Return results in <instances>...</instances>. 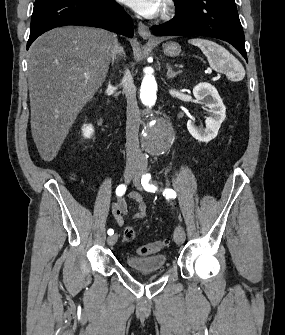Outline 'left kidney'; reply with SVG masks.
<instances>
[{
	"instance_id": "5707ae66",
	"label": "left kidney",
	"mask_w": 285,
	"mask_h": 335,
	"mask_svg": "<svg viewBox=\"0 0 285 335\" xmlns=\"http://www.w3.org/2000/svg\"><path fill=\"white\" fill-rule=\"evenodd\" d=\"M193 96H195L196 100H205V98H208L206 108H209L211 116L206 118V128L204 130L203 128H197L192 120H188L187 130L198 142H211L213 138H216L218 130L226 118V108L216 88L212 84H207V82L197 84L193 88Z\"/></svg>"
}]
</instances>
